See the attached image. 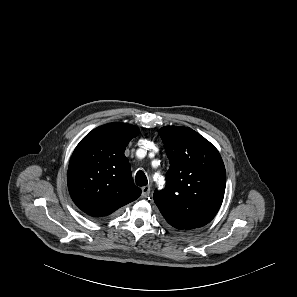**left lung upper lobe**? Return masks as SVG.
<instances>
[{"label": "left lung upper lobe", "instance_id": "1", "mask_svg": "<svg viewBox=\"0 0 297 297\" xmlns=\"http://www.w3.org/2000/svg\"><path fill=\"white\" fill-rule=\"evenodd\" d=\"M170 168L166 187L155 191L154 201L167 223L191 230L209 223L224 197L226 171L218 150L188 127L160 129Z\"/></svg>", "mask_w": 297, "mask_h": 297}]
</instances>
